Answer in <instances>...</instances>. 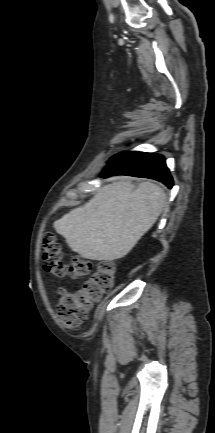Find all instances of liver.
<instances>
[{"mask_svg":"<svg viewBox=\"0 0 215 433\" xmlns=\"http://www.w3.org/2000/svg\"><path fill=\"white\" fill-rule=\"evenodd\" d=\"M166 203L164 190L151 182L104 186L85 205L54 222L72 251L97 261L126 256L153 226Z\"/></svg>","mask_w":215,"mask_h":433,"instance_id":"obj_1","label":"liver"}]
</instances>
